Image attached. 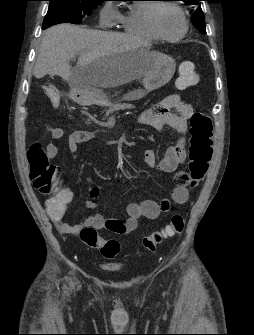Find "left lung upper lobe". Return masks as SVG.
<instances>
[{
    "label": "left lung upper lobe",
    "instance_id": "left-lung-upper-lobe-1",
    "mask_svg": "<svg viewBox=\"0 0 254 335\" xmlns=\"http://www.w3.org/2000/svg\"><path fill=\"white\" fill-rule=\"evenodd\" d=\"M181 1L185 2L187 5H193V9L191 10L193 12L191 20L195 25V27L199 29L200 32L205 34L206 33L205 16L203 14L201 7L199 6L200 5L199 1L201 0H181Z\"/></svg>",
    "mask_w": 254,
    "mask_h": 335
}]
</instances>
